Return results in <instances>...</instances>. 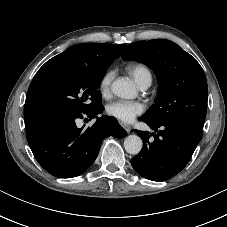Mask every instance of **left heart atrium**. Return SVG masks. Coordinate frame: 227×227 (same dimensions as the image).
Returning <instances> with one entry per match:
<instances>
[{
  "mask_svg": "<svg viewBox=\"0 0 227 227\" xmlns=\"http://www.w3.org/2000/svg\"><path fill=\"white\" fill-rule=\"evenodd\" d=\"M106 112L122 122H131L143 112V106L138 102L113 101L106 107Z\"/></svg>",
  "mask_w": 227,
  "mask_h": 227,
  "instance_id": "left-heart-atrium-1",
  "label": "left heart atrium"
}]
</instances>
